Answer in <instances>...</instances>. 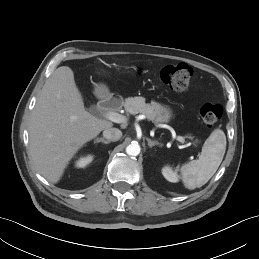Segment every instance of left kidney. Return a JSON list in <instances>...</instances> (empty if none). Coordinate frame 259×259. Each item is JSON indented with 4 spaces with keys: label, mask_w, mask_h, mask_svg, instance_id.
<instances>
[{
    "label": "left kidney",
    "mask_w": 259,
    "mask_h": 259,
    "mask_svg": "<svg viewBox=\"0 0 259 259\" xmlns=\"http://www.w3.org/2000/svg\"><path fill=\"white\" fill-rule=\"evenodd\" d=\"M162 174L169 182L176 183L179 180V177L175 171L172 170L170 166H165L162 169Z\"/></svg>",
    "instance_id": "5707ae66"
}]
</instances>
